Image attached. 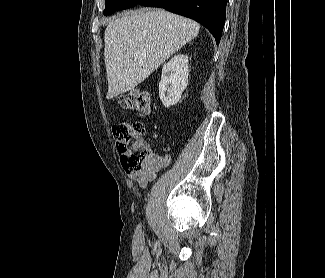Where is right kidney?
Instances as JSON below:
<instances>
[{
  "mask_svg": "<svg viewBox=\"0 0 325 278\" xmlns=\"http://www.w3.org/2000/svg\"><path fill=\"white\" fill-rule=\"evenodd\" d=\"M188 56L176 55L163 65L159 97L165 107L178 103L188 85Z\"/></svg>",
  "mask_w": 325,
  "mask_h": 278,
  "instance_id": "1",
  "label": "right kidney"
}]
</instances>
